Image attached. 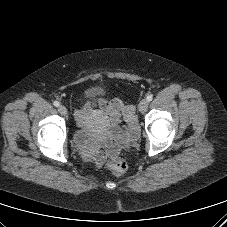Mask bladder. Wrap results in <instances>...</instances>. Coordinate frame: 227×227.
<instances>
[{"label":"bladder","mask_w":227,"mask_h":227,"mask_svg":"<svg viewBox=\"0 0 227 227\" xmlns=\"http://www.w3.org/2000/svg\"><path fill=\"white\" fill-rule=\"evenodd\" d=\"M101 91L102 90L97 87L90 88L82 94V100L83 101H93L101 93ZM92 122H93L92 116H88L85 120V124H87V125H90Z\"/></svg>","instance_id":"bladder-1"}]
</instances>
